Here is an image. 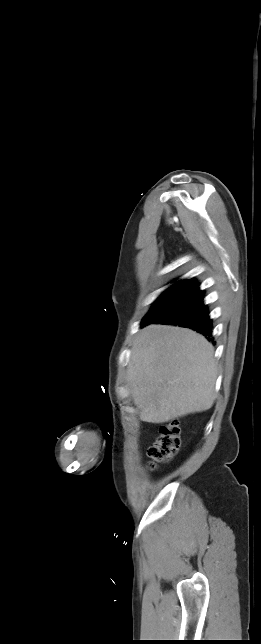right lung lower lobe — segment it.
Segmentation results:
<instances>
[{
	"instance_id": "obj_1",
	"label": "right lung lower lobe",
	"mask_w": 261,
	"mask_h": 644,
	"mask_svg": "<svg viewBox=\"0 0 261 644\" xmlns=\"http://www.w3.org/2000/svg\"><path fill=\"white\" fill-rule=\"evenodd\" d=\"M203 295L204 292H200L188 303L157 320L142 323V326L150 323L178 325L191 328L211 340L212 320L209 318L207 306L204 305Z\"/></svg>"
}]
</instances>
